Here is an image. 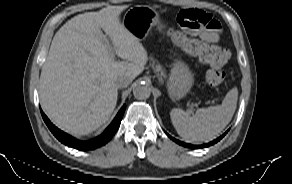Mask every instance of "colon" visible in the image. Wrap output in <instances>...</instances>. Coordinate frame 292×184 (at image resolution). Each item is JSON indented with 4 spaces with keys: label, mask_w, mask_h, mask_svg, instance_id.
Here are the masks:
<instances>
[{
    "label": "colon",
    "mask_w": 292,
    "mask_h": 184,
    "mask_svg": "<svg viewBox=\"0 0 292 184\" xmlns=\"http://www.w3.org/2000/svg\"><path fill=\"white\" fill-rule=\"evenodd\" d=\"M177 20L182 28L194 34L201 29H220L218 20L211 14L198 9L181 10L178 13ZM173 39L185 52L196 56L200 61L211 66L206 74L207 82L210 85L217 86L224 81L225 73L222 68L230 59V53L227 49L180 33H174Z\"/></svg>",
    "instance_id": "obj_1"
}]
</instances>
